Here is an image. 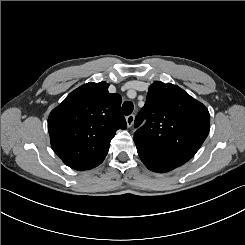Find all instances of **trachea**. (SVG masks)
Masks as SVG:
<instances>
[{
  "label": "trachea",
  "mask_w": 245,
  "mask_h": 245,
  "mask_svg": "<svg viewBox=\"0 0 245 245\" xmlns=\"http://www.w3.org/2000/svg\"><path fill=\"white\" fill-rule=\"evenodd\" d=\"M134 109L132 102L126 101L122 106V113L124 115H130Z\"/></svg>",
  "instance_id": "trachea-1"
}]
</instances>
